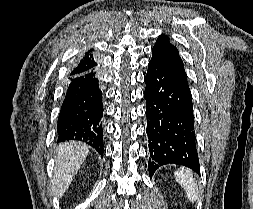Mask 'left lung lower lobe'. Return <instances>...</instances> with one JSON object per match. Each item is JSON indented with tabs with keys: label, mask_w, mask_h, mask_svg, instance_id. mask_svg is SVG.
Returning <instances> with one entry per match:
<instances>
[{
	"label": "left lung lower lobe",
	"mask_w": 253,
	"mask_h": 209,
	"mask_svg": "<svg viewBox=\"0 0 253 209\" xmlns=\"http://www.w3.org/2000/svg\"><path fill=\"white\" fill-rule=\"evenodd\" d=\"M144 81L150 176L166 164L200 174L191 93L179 74L160 61L149 62Z\"/></svg>",
	"instance_id": "left-lung-lower-lobe-1"
}]
</instances>
